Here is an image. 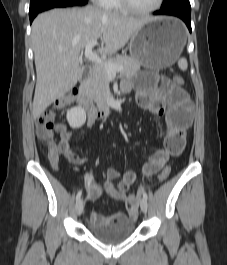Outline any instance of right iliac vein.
Masks as SVG:
<instances>
[{"label":"right iliac vein","mask_w":227,"mask_h":265,"mask_svg":"<svg viewBox=\"0 0 227 265\" xmlns=\"http://www.w3.org/2000/svg\"><path fill=\"white\" fill-rule=\"evenodd\" d=\"M84 209V201L83 199H79L75 206V211L77 215H81Z\"/></svg>","instance_id":"right-iliac-vein-1"}]
</instances>
